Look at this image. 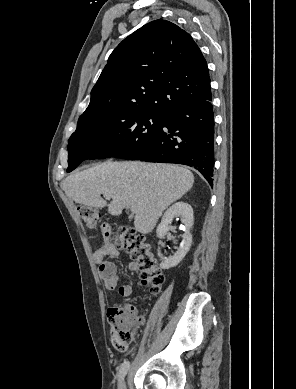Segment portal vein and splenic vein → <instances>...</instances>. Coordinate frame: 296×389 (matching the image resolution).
Instances as JSON below:
<instances>
[{
  "label": "portal vein and splenic vein",
  "instance_id": "1",
  "mask_svg": "<svg viewBox=\"0 0 296 389\" xmlns=\"http://www.w3.org/2000/svg\"><path fill=\"white\" fill-rule=\"evenodd\" d=\"M105 198L110 199V197L108 195H105ZM131 212H132V214H134L136 212V209L134 207H131Z\"/></svg>",
  "mask_w": 296,
  "mask_h": 389
}]
</instances>
